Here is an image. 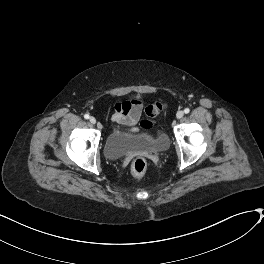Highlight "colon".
<instances>
[{
    "label": "colon",
    "instance_id": "obj_1",
    "mask_svg": "<svg viewBox=\"0 0 264 264\" xmlns=\"http://www.w3.org/2000/svg\"><path fill=\"white\" fill-rule=\"evenodd\" d=\"M165 106L162 103H153L150 104L147 108H146V115L152 119L155 118L156 116H158L163 110H164ZM152 122L150 120L146 121V130H151L152 129ZM147 161L144 158H136L132 165H131V171L132 174L135 177H140L142 175L145 174L146 170H147Z\"/></svg>",
    "mask_w": 264,
    "mask_h": 264
}]
</instances>
